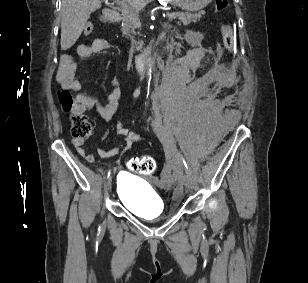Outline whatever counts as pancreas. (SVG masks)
Listing matches in <instances>:
<instances>
[{
    "instance_id": "cf45deb5",
    "label": "pancreas",
    "mask_w": 308,
    "mask_h": 283,
    "mask_svg": "<svg viewBox=\"0 0 308 283\" xmlns=\"http://www.w3.org/2000/svg\"><path fill=\"white\" fill-rule=\"evenodd\" d=\"M202 14L204 12L199 13H180L179 15L175 16V18H178L180 22H182L184 25L189 24L191 21L195 22L196 20H199L202 17ZM122 35H124L126 38H132L131 33H134L136 29L140 28V20L138 13L136 11L129 10L127 12H124L122 14ZM174 19V18H170ZM178 24H180L178 22ZM132 49L139 50L141 49V44L133 43Z\"/></svg>"
}]
</instances>
